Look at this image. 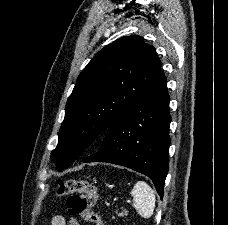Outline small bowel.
I'll list each match as a JSON object with an SVG mask.
<instances>
[{
    "instance_id": "1",
    "label": "small bowel",
    "mask_w": 228,
    "mask_h": 225,
    "mask_svg": "<svg viewBox=\"0 0 228 225\" xmlns=\"http://www.w3.org/2000/svg\"><path fill=\"white\" fill-rule=\"evenodd\" d=\"M50 223L51 225H79L78 221L75 218H71L67 224L65 218L58 214L51 217Z\"/></svg>"
}]
</instances>
